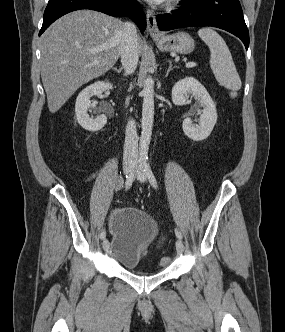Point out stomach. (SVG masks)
I'll return each mask as SVG.
<instances>
[{"instance_id": "0dacf381", "label": "stomach", "mask_w": 285, "mask_h": 332, "mask_svg": "<svg viewBox=\"0 0 285 332\" xmlns=\"http://www.w3.org/2000/svg\"><path fill=\"white\" fill-rule=\"evenodd\" d=\"M161 51H173L180 54H189L194 48V39L186 32H177L154 39Z\"/></svg>"}]
</instances>
